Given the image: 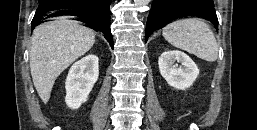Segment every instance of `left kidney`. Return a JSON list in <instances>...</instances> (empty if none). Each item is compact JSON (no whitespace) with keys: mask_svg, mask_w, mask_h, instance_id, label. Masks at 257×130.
Listing matches in <instances>:
<instances>
[{"mask_svg":"<svg viewBox=\"0 0 257 130\" xmlns=\"http://www.w3.org/2000/svg\"><path fill=\"white\" fill-rule=\"evenodd\" d=\"M176 62L181 63L182 66L178 67ZM158 65L162 77L170 86L178 90H185L192 86L199 75V69L193 60L184 52L177 50L162 53Z\"/></svg>","mask_w":257,"mask_h":130,"instance_id":"obj_1","label":"left kidney"}]
</instances>
